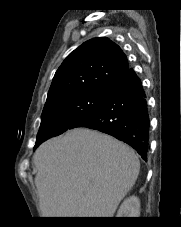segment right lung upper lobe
<instances>
[{
	"label": "right lung upper lobe",
	"instance_id": "1",
	"mask_svg": "<svg viewBox=\"0 0 181 227\" xmlns=\"http://www.w3.org/2000/svg\"><path fill=\"white\" fill-rule=\"evenodd\" d=\"M130 70L125 54L113 41L106 37L88 40L56 71L44 107L63 97L110 88Z\"/></svg>",
	"mask_w": 181,
	"mask_h": 227
}]
</instances>
